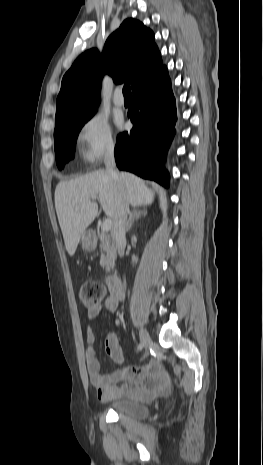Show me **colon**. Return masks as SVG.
I'll return each instance as SVG.
<instances>
[{
  "mask_svg": "<svg viewBox=\"0 0 263 465\" xmlns=\"http://www.w3.org/2000/svg\"><path fill=\"white\" fill-rule=\"evenodd\" d=\"M79 296L85 306L95 307L104 298L105 288L98 282L85 281L80 286Z\"/></svg>",
  "mask_w": 263,
  "mask_h": 465,
  "instance_id": "obj_1",
  "label": "colon"
}]
</instances>
